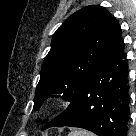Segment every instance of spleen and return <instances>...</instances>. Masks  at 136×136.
Here are the masks:
<instances>
[{
	"instance_id": "obj_1",
	"label": "spleen",
	"mask_w": 136,
	"mask_h": 136,
	"mask_svg": "<svg viewBox=\"0 0 136 136\" xmlns=\"http://www.w3.org/2000/svg\"><path fill=\"white\" fill-rule=\"evenodd\" d=\"M71 136H94L84 131H75L71 134Z\"/></svg>"
}]
</instances>
